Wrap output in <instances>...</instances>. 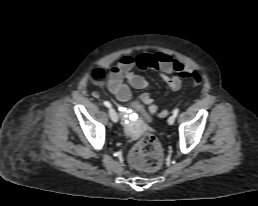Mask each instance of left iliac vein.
<instances>
[{"instance_id":"left-iliac-vein-1","label":"left iliac vein","mask_w":258,"mask_h":206,"mask_svg":"<svg viewBox=\"0 0 258 206\" xmlns=\"http://www.w3.org/2000/svg\"><path fill=\"white\" fill-rule=\"evenodd\" d=\"M176 116L172 115L168 118V124L173 125L175 122Z\"/></svg>"}]
</instances>
